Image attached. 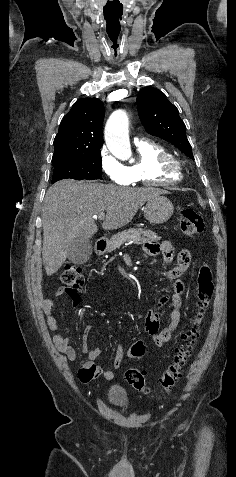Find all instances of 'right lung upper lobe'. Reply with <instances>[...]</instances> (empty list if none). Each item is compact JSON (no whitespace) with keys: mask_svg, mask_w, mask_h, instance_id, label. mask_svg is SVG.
Instances as JSON below:
<instances>
[{"mask_svg":"<svg viewBox=\"0 0 236 477\" xmlns=\"http://www.w3.org/2000/svg\"><path fill=\"white\" fill-rule=\"evenodd\" d=\"M103 103L97 98L77 101L62 120L54 139L52 161L100 150L103 145Z\"/></svg>","mask_w":236,"mask_h":477,"instance_id":"1","label":"right lung upper lobe"}]
</instances>
